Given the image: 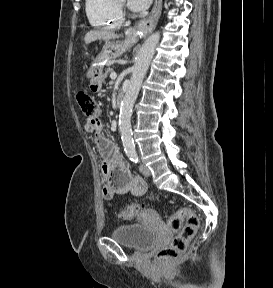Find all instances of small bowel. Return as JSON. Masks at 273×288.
<instances>
[{
    "instance_id": "small-bowel-1",
    "label": "small bowel",
    "mask_w": 273,
    "mask_h": 288,
    "mask_svg": "<svg viewBox=\"0 0 273 288\" xmlns=\"http://www.w3.org/2000/svg\"><path fill=\"white\" fill-rule=\"evenodd\" d=\"M84 129L94 133L95 141L102 158L101 170L107 184L102 189V197L112 200L116 195L132 194L141 196L147 186L143 178L133 176L126 167L114 143L105 134L102 122L96 117L86 119Z\"/></svg>"
}]
</instances>
